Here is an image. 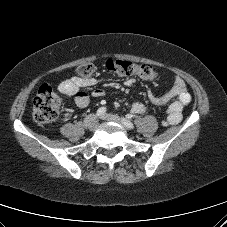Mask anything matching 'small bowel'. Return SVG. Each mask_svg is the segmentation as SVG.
Masks as SVG:
<instances>
[{"instance_id": "1", "label": "small bowel", "mask_w": 227, "mask_h": 227, "mask_svg": "<svg viewBox=\"0 0 227 227\" xmlns=\"http://www.w3.org/2000/svg\"><path fill=\"white\" fill-rule=\"evenodd\" d=\"M135 80L133 78H127L124 82L126 86H131ZM96 84L93 78H81L72 77L70 79L62 81L59 86V92L67 97L74 98L77 106L83 108L89 104V96L86 92L82 91L83 88H90ZM93 97L99 98L105 95V91L102 88H94L91 92ZM150 102L153 105L159 106L173 101L167 108V124H178L182 119V111L191 101V95L189 94L184 80L180 77H176L172 87L162 95L149 94ZM147 110V106L140 103L134 102L131 105V113L143 114Z\"/></svg>"}]
</instances>
